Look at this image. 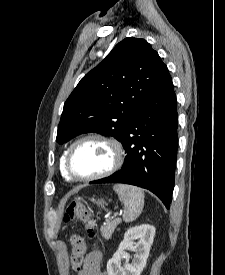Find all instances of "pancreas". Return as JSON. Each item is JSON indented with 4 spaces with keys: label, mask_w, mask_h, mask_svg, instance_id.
Listing matches in <instances>:
<instances>
[{
    "label": "pancreas",
    "mask_w": 225,
    "mask_h": 275,
    "mask_svg": "<svg viewBox=\"0 0 225 275\" xmlns=\"http://www.w3.org/2000/svg\"><path fill=\"white\" fill-rule=\"evenodd\" d=\"M121 223L120 219H115L113 221H107L103 226H101L100 231L104 239H110L117 225Z\"/></svg>",
    "instance_id": "cf45deb5"
}]
</instances>
